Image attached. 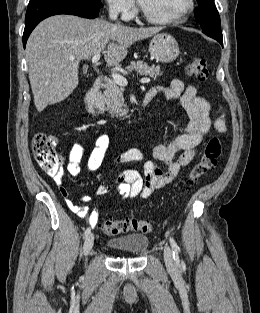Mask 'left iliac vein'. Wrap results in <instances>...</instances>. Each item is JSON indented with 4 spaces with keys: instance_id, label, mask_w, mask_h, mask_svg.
<instances>
[{
    "instance_id": "4c4485c4",
    "label": "left iliac vein",
    "mask_w": 260,
    "mask_h": 313,
    "mask_svg": "<svg viewBox=\"0 0 260 313\" xmlns=\"http://www.w3.org/2000/svg\"><path fill=\"white\" fill-rule=\"evenodd\" d=\"M164 260L168 268L176 269V262L173 257L172 249L169 246H165L164 248Z\"/></svg>"
}]
</instances>
